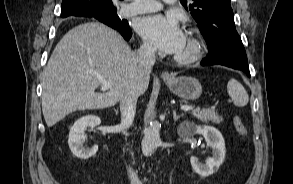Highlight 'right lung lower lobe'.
Returning a JSON list of instances; mask_svg holds the SVG:
<instances>
[{
	"mask_svg": "<svg viewBox=\"0 0 293 184\" xmlns=\"http://www.w3.org/2000/svg\"><path fill=\"white\" fill-rule=\"evenodd\" d=\"M83 16L96 18L99 21L103 22L104 24L118 30L126 40H129L132 36V31L126 20L109 19L104 17L101 13H95V14L83 15Z\"/></svg>",
	"mask_w": 293,
	"mask_h": 184,
	"instance_id": "right-lung-lower-lobe-1",
	"label": "right lung lower lobe"
}]
</instances>
